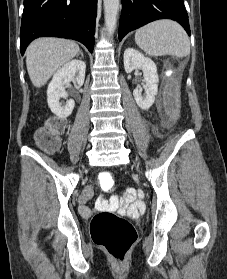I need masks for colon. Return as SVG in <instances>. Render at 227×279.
<instances>
[{"label":"colon","mask_w":227,"mask_h":279,"mask_svg":"<svg viewBox=\"0 0 227 279\" xmlns=\"http://www.w3.org/2000/svg\"><path fill=\"white\" fill-rule=\"evenodd\" d=\"M64 122L51 119L44 128L35 134V142L47 153L56 151L61 143L60 135L64 130ZM99 184L104 190L112 189L116 178L106 172L101 174ZM135 190H128L125 195L133 197ZM91 236L116 261L124 262L126 256L136 239V231L125 218L111 211L98 212L91 222Z\"/></svg>","instance_id":"5ec220e1"}]
</instances>
